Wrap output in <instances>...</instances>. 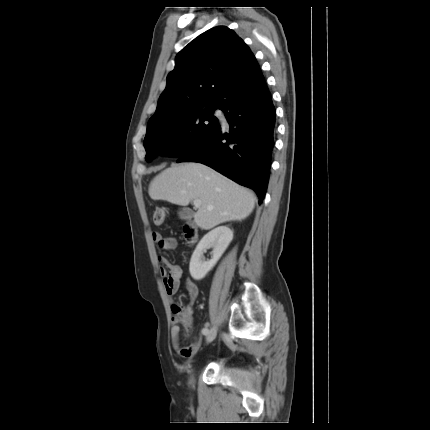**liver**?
<instances>
[{
  "mask_svg": "<svg viewBox=\"0 0 430 430\" xmlns=\"http://www.w3.org/2000/svg\"><path fill=\"white\" fill-rule=\"evenodd\" d=\"M153 200L187 206L200 199L194 214L198 227L209 230L228 221H241L252 212L255 196L249 190L202 163L171 166L157 175L149 186Z\"/></svg>",
  "mask_w": 430,
  "mask_h": 430,
  "instance_id": "obj_1",
  "label": "liver"
}]
</instances>
